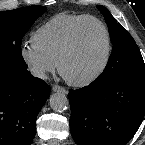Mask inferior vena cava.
Wrapping results in <instances>:
<instances>
[{
	"label": "inferior vena cava",
	"instance_id": "1",
	"mask_svg": "<svg viewBox=\"0 0 145 145\" xmlns=\"http://www.w3.org/2000/svg\"><path fill=\"white\" fill-rule=\"evenodd\" d=\"M31 71V74L35 77H39V78H42V79H46V75L44 73V70L42 68H39V67H32L30 69Z\"/></svg>",
	"mask_w": 145,
	"mask_h": 145
}]
</instances>
